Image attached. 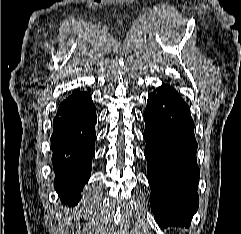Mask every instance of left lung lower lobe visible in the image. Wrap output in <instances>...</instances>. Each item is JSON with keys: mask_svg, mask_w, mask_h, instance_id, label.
<instances>
[{"mask_svg": "<svg viewBox=\"0 0 241 234\" xmlns=\"http://www.w3.org/2000/svg\"><path fill=\"white\" fill-rule=\"evenodd\" d=\"M150 205L161 227L189 226L199 205L197 142L188 105L163 85L151 93L144 112Z\"/></svg>", "mask_w": 241, "mask_h": 234, "instance_id": "0a47b994", "label": "left lung lower lobe"}]
</instances>
